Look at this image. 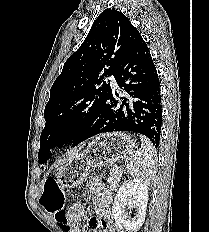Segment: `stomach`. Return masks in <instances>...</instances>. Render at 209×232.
<instances>
[{
	"instance_id": "obj_1",
	"label": "stomach",
	"mask_w": 209,
	"mask_h": 232,
	"mask_svg": "<svg viewBox=\"0 0 209 232\" xmlns=\"http://www.w3.org/2000/svg\"><path fill=\"white\" fill-rule=\"evenodd\" d=\"M134 147L132 138L125 133L99 135L59 168L57 181L62 187H76L85 181L92 168L114 164L131 154Z\"/></svg>"
}]
</instances>
